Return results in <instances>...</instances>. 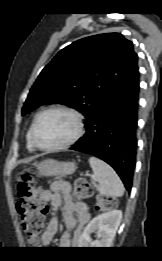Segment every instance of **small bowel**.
<instances>
[{"mask_svg": "<svg viewBox=\"0 0 162 261\" xmlns=\"http://www.w3.org/2000/svg\"><path fill=\"white\" fill-rule=\"evenodd\" d=\"M40 199L49 202L54 210L63 207V220L67 229L77 232L90 220V213L83 204L76 203L71 198V185L65 179L54 180L50 189L42 192ZM58 229V221L52 218L41 238V245L48 246L53 240ZM70 243V236L64 233L60 239L59 246L66 247Z\"/></svg>", "mask_w": 162, "mask_h": 261, "instance_id": "1", "label": "small bowel"}]
</instances>
